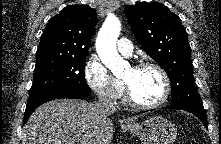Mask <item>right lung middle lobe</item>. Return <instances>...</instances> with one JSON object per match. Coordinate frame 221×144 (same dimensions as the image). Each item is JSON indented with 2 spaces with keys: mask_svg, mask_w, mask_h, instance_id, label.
Instances as JSON below:
<instances>
[{
  "mask_svg": "<svg viewBox=\"0 0 221 144\" xmlns=\"http://www.w3.org/2000/svg\"><path fill=\"white\" fill-rule=\"evenodd\" d=\"M36 58L34 80L27 105L58 89L90 90L84 75L86 55L42 54L36 55Z\"/></svg>",
  "mask_w": 221,
  "mask_h": 144,
  "instance_id": "right-lung-middle-lobe-1",
  "label": "right lung middle lobe"
}]
</instances>
